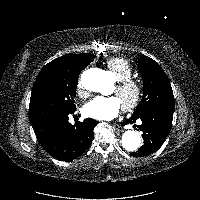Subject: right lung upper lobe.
<instances>
[{"label": "right lung upper lobe", "instance_id": "1", "mask_svg": "<svg viewBox=\"0 0 200 200\" xmlns=\"http://www.w3.org/2000/svg\"><path fill=\"white\" fill-rule=\"evenodd\" d=\"M92 54H71L56 58L40 71L37 81L41 79L63 78L80 72L93 61Z\"/></svg>", "mask_w": 200, "mask_h": 200}]
</instances>
